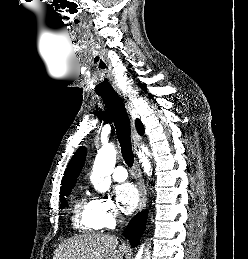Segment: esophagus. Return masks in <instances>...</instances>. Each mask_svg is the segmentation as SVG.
<instances>
[{
  "mask_svg": "<svg viewBox=\"0 0 248 259\" xmlns=\"http://www.w3.org/2000/svg\"><path fill=\"white\" fill-rule=\"evenodd\" d=\"M117 94L122 98L125 107L131 117V124H132V139H133V149H134V161H133V172H134V177L137 183V187L139 190V195H140V203H139V211H142L146 207L147 203V192L145 189V185L141 176L140 168H139V163L136 157L137 149L140 145L141 141V136L138 134L136 128H135V111L134 108L130 102V100L125 96L122 91L117 90Z\"/></svg>",
  "mask_w": 248,
  "mask_h": 259,
  "instance_id": "34e87169",
  "label": "esophagus"
}]
</instances>
